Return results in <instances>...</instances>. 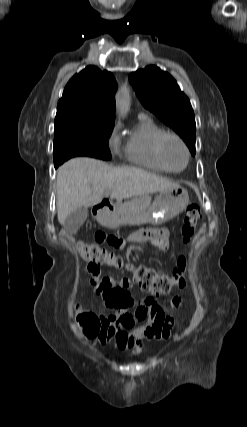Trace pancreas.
Here are the masks:
<instances>
[{
	"label": "pancreas",
	"instance_id": "1",
	"mask_svg": "<svg viewBox=\"0 0 247 427\" xmlns=\"http://www.w3.org/2000/svg\"><path fill=\"white\" fill-rule=\"evenodd\" d=\"M151 203L150 196H138L133 198L132 200L119 202L116 207V213L118 215L131 214L136 212H144L147 210Z\"/></svg>",
	"mask_w": 247,
	"mask_h": 427
}]
</instances>
